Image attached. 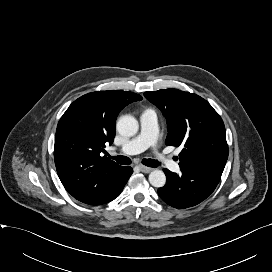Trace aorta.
I'll use <instances>...</instances> for the list:
<instances>
[{
    "mask_svg": "<svg viewBox=\"0 0 272 272\" xmlns=\"http://www.w3.org/2000/svg\"><path fill=\"white\" fill-rule=\"evenodd\" d=\"M117 130L123 136H134L139 128L138 121L131 115H124L117 121ZM149 182L152 186L160 188L166 183V176L161 170H154L149 174Z\"/></svg>",
    "mask_w": 272,
    "mask_h": 272,
    "instance_id": "aorta-1",
    "label": "aorta"
}]
</instances>
